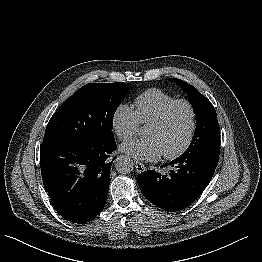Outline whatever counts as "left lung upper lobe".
Instances as JSON below:
<instances>
[{"instance_id": "left-lung-upper-lobe-1", "label": "left lung upper lobe", "mask_w": 262, "mask_h": 262, "mask_svg": "<svg viewBox=\"0 0 262 262\" xmlns=\"http://www.w3.org/2000/svg\"><path fill=\"white\" fill-rule=\"evenodd\" d=\"M169 80L175 81L187 93L196 117L194 137L182 156L201 153L219 154L220 129L216 111L211 102L185 81L175 78H169Z\"/></svg>"}]
</instances>
